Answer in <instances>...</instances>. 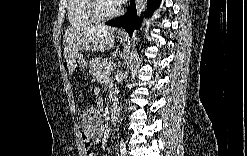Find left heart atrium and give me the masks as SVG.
I'll list each match as a JSON object with an SVG mask.
<instances>
[{
	"instance_id": "left-heart-atrium-1",
	"label": "left heart atrium",
	"mask_w": 247,
	"mask_h": 156,
	"mask_svg": "<svg viewBox=\"0 0 247 156\" xmlns=\"http://www.w3.org/2000/svg\"><path fill=\"white\" fill-rule=\"evenodd\" d=\"M114 3H115L116 5H122V4L125 3V1H124V0H115Z\"/></svg>"
}]
</instances>
